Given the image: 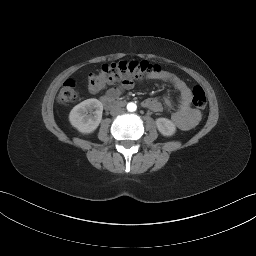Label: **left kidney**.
<instances>
[{"instance_id": "obj_1", "label": "left kidney", "mask_w": 256, "mask_h": 256, "mask_svg": "<svg viewBox=\"0 0 256 256\" xmlns=\"http://www.w3.org/2000/svg\"><path fill=\"white\" fill-rule=\"evenodd\" d=\"M158 131L164 136H172L176 132L175 124L167 118L156 119Z\"/></svg>"}]
</instances>
